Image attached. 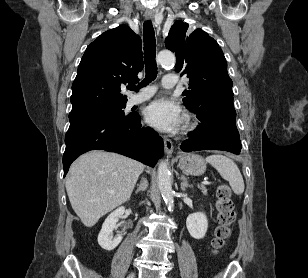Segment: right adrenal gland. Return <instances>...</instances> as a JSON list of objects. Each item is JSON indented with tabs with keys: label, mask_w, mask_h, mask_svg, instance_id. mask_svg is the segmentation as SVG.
Instances as JSON below:
<instances>
[{
	"label": "right adrenal gland",
	"mask_w": 308,
	"mask_h": 278,
	"mask_svg": "<svg viewBox=\"0 0 308 278\" xmlns=\"http://www.w3.org/2000/svg\"><path fill=\"white\" fill-rule=\"evenodd\" d=\"M148 187V183L146 181V179L142 178L141 182L139 184V187L137 188V190L135 191V193H138L139 191H145Z\"/></svg>",
	"instance_id": "obj_1"
}]
</instances>
